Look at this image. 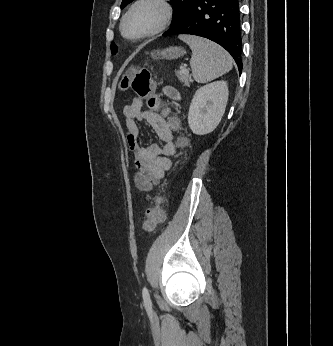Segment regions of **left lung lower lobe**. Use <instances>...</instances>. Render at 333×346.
Segmentation results:
<instances>
[{
	"instance_id": "0a47b994",
	"label": "left lung lower lobe",
	"mask_w": 333,
	"mask_h": 346,
	"mask_svg": "<svg viewBox=\"0 0 333 346\" xmlns=\"http://www.w3.org/2000/svg\"><path fill=\"white\" fill-rule=\"evenodd\" d=\"M191 34L225 48L242 71V36L239 0H194L186 16L163 36Z\"/></svg>"
}]
</instances>
